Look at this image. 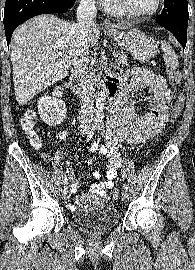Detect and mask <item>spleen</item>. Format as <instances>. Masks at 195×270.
Here are the masks:
<instances>
[{
  "label": "spleen",
  "instance_id": "1",
  "mask_svg": "<svg viewBox=\"0 0 195 270\" xmlns=\"http://www.w3.org/2000/svg\"><path fill=\"white\" fill-rule=\"evenodd\" d=\"M161 48L164 52L163 58L166 67L170 68V70L177 69L179 66L178 56L176 55L172 46L166 41H161Z\"/></svg>",
  "mask_w": 195,
  "mask_h": 270
}]
</instances>
